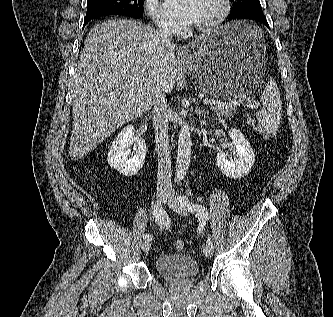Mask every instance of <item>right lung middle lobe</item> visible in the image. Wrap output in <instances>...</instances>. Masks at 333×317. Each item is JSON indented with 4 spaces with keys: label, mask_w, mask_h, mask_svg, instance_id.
I'll return each mask as SVG.
<instances>
[{
    "label": "right lung middle lobe",
    "mask_w": 333,
    "mask_h": 317,
    "mask_svg": "<svg viewBox=\"0 0 333 317\" xmlns=\"http://www.w3.org/2000/svg\"><path fill=\"white\" fill-rule=\"evenodd\" d=\"M86 17L126 15L139 18L143 12L142 0H88Z\"/></svg>",
    "instance_id": "1"
}]
</instances>
